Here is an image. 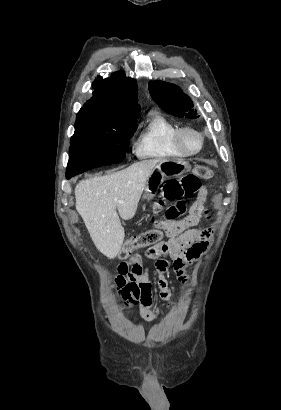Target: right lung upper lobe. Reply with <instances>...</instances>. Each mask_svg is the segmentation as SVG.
<instances>
[{
  "mask_svg": "<svg viewBox=\"0 0 281 410\" xmlns=\"http://www.w3.org/2000/svg\"><path fill=\"white\" fill-rule=\"evenodd\" d=\"M95 90L80 111H91L108 118H130L139 115L137 83L124 72L111 77L98 76L92 83Z\"/></svg>",
  "mask_w": 281,
  "mask_h": 410,
  "instance_id": "right-lung-upper-lobe-1",
  "label": "right lung upper lobe"
}]
</instances>
